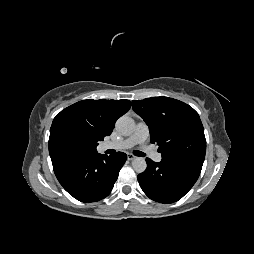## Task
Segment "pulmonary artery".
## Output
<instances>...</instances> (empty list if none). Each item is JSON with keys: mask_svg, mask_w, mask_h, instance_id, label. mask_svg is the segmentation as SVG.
Returning a JSON list of instances; mask_svg holds the SVG:
<instances>
[{"mask_svg": "<svg viewBox=\"0 0 254 254\" xmlns=\"http://www.w3.org/2000/svg\"><path fill=\"white\" fill-rule=\"evenodd\" d=\"M149 137V128L148 126L143 123L140 122L137 124L135 131L133 132V134L131 136H129L128 138L118 141V142H114V143H105L103 145L104 149H129L137 144L139 145H144V143L146 142V140ZM145 150H147L150 154V157L152 158V160H154L155 162H160L162 159L161 154L154 152L150 149H148L147 147H144Z\"/></svg>", "mask_w": 254, "mask_h": 254, "instance_id": "e3ab8cb5", "label": "pulmonary artery"}]
</instances>
